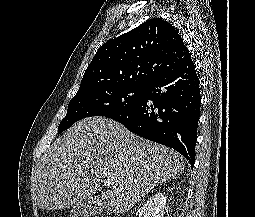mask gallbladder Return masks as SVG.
<instances>
[{
    "label": "gallbladder",
    "instance_id": "bac80fb5",
    "mask_svg": "<svg viewBox=\"0 0 255 217\" xmlns=\"http://www.w3.org/2000/svg\"><path fill=\"white\" fill-rule=\"evenodd\" d=\"M99 198L88 197L86 200L75 205L70 210V217H91L96 214Z\"/></svg>",
    "mask_w": 255,
    "mask_h": 217
}]
</instances>
